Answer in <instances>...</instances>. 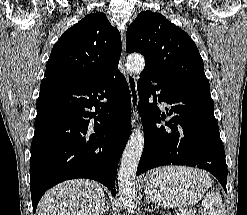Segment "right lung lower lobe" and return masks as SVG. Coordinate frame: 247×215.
<instances>
[{
  "label": "right lung lower lobe",
  "instance_id": "98d812e1",
  "mask_svg": "<svg viewBox=\"0 0 247 215\" xmlns=\"http://www.w3.org/2000/svg\"><path fill=\"white\" fill-rule=\"evenodd\" d=\"M130 133L131 96L118 68L86 85L43 79L31 143L33 211L49 188L69 179L99 181L116 195V170Z\"/></svg>",
  "mask_w": 247,
  "mask_h": 215
}]
</instances>
